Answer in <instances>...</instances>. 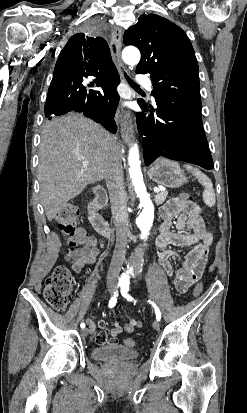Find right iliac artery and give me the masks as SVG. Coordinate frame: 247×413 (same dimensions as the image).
Here are the masks:
<instances>
[{"instance_id":"obj_1","label":"right iliac artery","mask_w":247,"mask_h":413,"mask_svg":"<svg viewBox=\"0 0 247 413\" xmlns=\"http://www.w3.org/2000/svg\"><path fill=\"white\" fill-rule=\"evenodd\" d=\"M117 296H118V291L116 290L115 292H114V295L111 297V299H110V301H109V307L110 308H113L115 305H116V303H117ZM80 327L83 329V328H85V324L84 323H81L80 324Z\"/></svg>"}]
</instances>
